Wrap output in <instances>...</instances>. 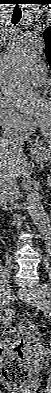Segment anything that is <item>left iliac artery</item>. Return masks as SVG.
<instances>
[{
    "instance_id": "1",
    "label": "left iliac artery",
    "mask_w": 51,
    "mask_h": 393,
    "mask_svg": "<svg viewBox=\"0 0 51 393\" xmlns=\"http://www.w3.org/2000/svg\"><path fill=\"white\" fill-rule=\"evenodd\" d=\"M43 288H45L46 290H48V287H47V285H44V286H43Z\"/></svg>"
}]
</instances>
